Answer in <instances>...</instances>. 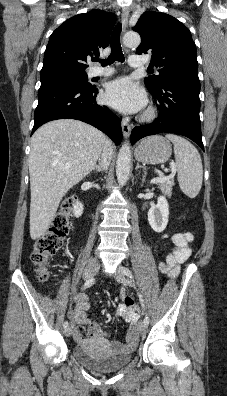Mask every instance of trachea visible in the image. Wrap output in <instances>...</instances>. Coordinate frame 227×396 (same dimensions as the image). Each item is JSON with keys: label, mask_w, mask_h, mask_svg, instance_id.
Returning <instances> with one entry per match:
<instances>
[{"label": "trachea", "mask_w": 227, "mask_h": 396, "mask_svg": "<svg viewBox=\"0 0 227 396\" xmlns=\"http://www.w3.org/2000/svg\"><path fill=\"white\" fill-rule=\"evenodd\" d=\"M120 32H121V24L118 23L113 29L111 35V54L105 60L95 59V61H99L103 66L113 64L115 61L124 62L125 58L122 53L121 43H120Z\"/></svg>", "instance_id": "obj_1"}]
</instances>
